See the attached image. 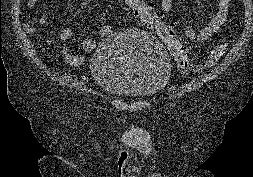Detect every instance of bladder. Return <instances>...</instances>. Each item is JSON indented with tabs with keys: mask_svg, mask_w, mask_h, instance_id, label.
Segmentation results:
<instances>
[{
	"mask_svg": "<svg viewBox=\"0 0 253 177\" xmlns=\"http://www.w3.org/2000/svg\"><path fill=\"white\" fill-rule=\"evenodd\" d=\"M162 54L161 46L148 36L123 31L100 44L90 68L106 93L148 98L162 90L170 73V63Z\"/></svg>",
	"mask_w": 253,
	"mask_h": 177,
	"instance_id": "bladder-1",
	"label": "bladder"
}]
</instances>
